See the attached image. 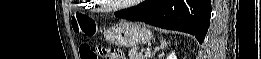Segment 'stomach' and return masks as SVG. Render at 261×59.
Returning a JSON list of instances; mask_svg holds the SVG:
<instances>
[{"mask_svg":"<svg viewBox=\"0 0 261 59\" xmlns=\"http://www.w3.org/2000/svg\"><path fill=\"white\" fill-rule=\"evenodd\" d=\"M153 34L144 23L121 20L104 31L107 42L123 47H135L150 42Z\"/></svg>","mask_w":261,"mask_h":59,"instance_id":"1","label":"stomach"}]
</instances>
